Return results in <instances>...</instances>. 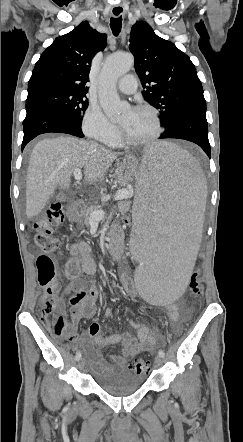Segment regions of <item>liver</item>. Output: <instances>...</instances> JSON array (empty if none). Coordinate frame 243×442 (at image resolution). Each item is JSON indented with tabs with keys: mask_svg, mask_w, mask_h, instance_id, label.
<instances>
[{
	"mask_svg": "<svg viewBox=\"0 0 243 442\" xmlns=\"http://www.w3.org/2000/svg\"><path fill=\"white\" fill-rule=\"evenodd\" d=\"M119 155L96 142L70 136L40 140L29 159L26 216L31 219L40 214L57 187H69L70 177L76 168H84L86 183L101 182Z\"/></svg>",
	"mask_w": 243,
	"mask_h": 442,
	"instance_id": "6515ba94",
	"label": "liver"
}]
</instances>
